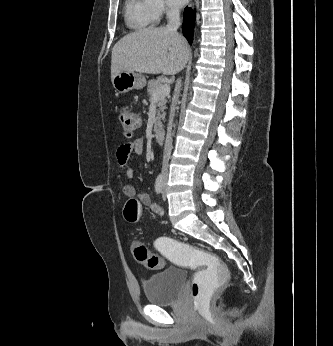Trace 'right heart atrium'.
<instances>
[{"label": "right heart atrium", "instance_id": "d8ad5b80", "mask_svg": "<svg viewBox=\"0 0 333 346\" xmlns=\"http://www.w3.org/2000/svg\"><path fill=\"white\" fill-rule=\"evenodd\" d=\"M147 8L154 22L163 17H171L177 14L178 9L170 3V0H146Z\"/></svg>", "mask_w": 333, "mask_h": 346}]
</instances>
